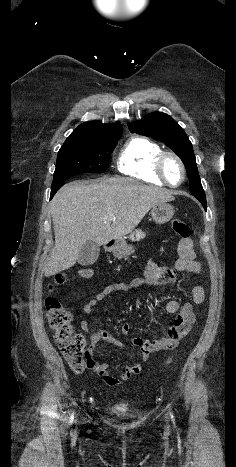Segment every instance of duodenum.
Wrapping results in <instances>:
<instances>
[{
    "label": "duodenum",
    "mask_w": 236,
    "mask_h": 467,
    "mask_svg": "<svg viewBox=\"0 0 236 467\" xmlns=\"http://www.w3.org/2000/svg\"><path fill=\"white\" fill-rule=\"evenodd\" d=\"M115 246V241L112 239H109L105 242V248L107 250H111Z\"/></svg>",
    "instance_id": "obj_1"
}]
</instances>
